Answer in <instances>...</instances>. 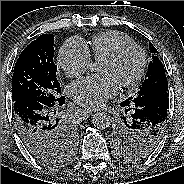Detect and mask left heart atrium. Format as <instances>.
Returning a JSON list of instances; mask_svg holds the SVG:
<instances>
[{"instance_id": "obj_1", "label": "left heart atrium", "mask_w": 184, "mask_h": 184, "mask_svg": "<svg viewBox=\"0 0 184 184\" xmlns=\"http://www.w3.org/2000/svg\"><path fill=\"white\" fill-rule=\"evenodd\" d=\"M118 92V83L110 75H92L79 79L70 87V93L76 103L89 109L104 104Z\"/></svg>"}]
</instances>
